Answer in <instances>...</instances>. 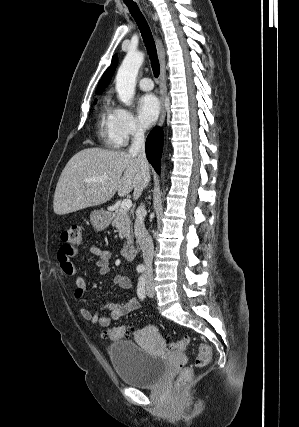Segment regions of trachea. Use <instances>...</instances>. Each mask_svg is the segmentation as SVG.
<instances>
[{"label": "trachea", "instance_id": "3493384b", "mask_svg": "<svg viewBox=\"0 0 299 427\" xmlns=\"http://www.w3.org/2000/svg\"><path fill=\"white\" fill-rule=\"evenodd\" d=\"M130 14L135 19L141 32L143 41L147 48L154 76L157 78L160 74V65L157 57V50L150 27L136 4H126Z\"/></svg>", "mask_w": 299, "mask_h": 427}]
</instances>
